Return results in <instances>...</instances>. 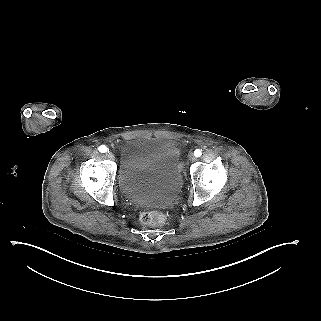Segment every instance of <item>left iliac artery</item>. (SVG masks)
Masks as SVG:
<instances>
[{
    "instance_id": "44dca946",
    "label": "left iliac artery",
    "mask_w": 321,
    "mask_h": 321,
    "mask_svg": "<svg viewBox=\"0 0 321 321\" xmlns=\"http://www.w3.org/2000/svg\"><path fill=\"white\" fill-rule=\"evenodd\" d=\"M194 155H195L196 157H200V156L202 155V151H201L200 149H196V150L194 151Z\"/></svg>"
}]
</instances>
